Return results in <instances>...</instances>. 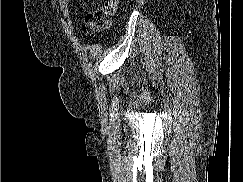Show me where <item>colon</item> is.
<instances>
[{
  "label": "colon",
  "instance_id": "obj_1",
  "mask_svg": "<svg viewBox=\"0 0 243 182\" xmlns=\"http://www.w3.org/2000/svg\"><path fill=\"white\" fill-rule=\"evenodd\" d=\"M118 0H108L103 6L89 11L84 19V32L93 34L107 28L114 16Z\"/></svg>",
  "mask_w": 243,
  "mask_h": 182
}]
</instances>
